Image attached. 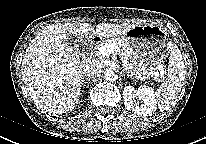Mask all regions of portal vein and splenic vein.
I'll list each match as a JSON object with an SVG mask.
<instances>
[{"label": "portal vein and splenic vein", "instance_id": "obj_1", "mask_svg": "<svg viewBox=\"0 0 206 144\" xmlns=\"http://www.w3.org/2000/svg\"><path fill=\"white\" fill-rule=\"evenodd\" d=\"M120 51V49L113 43L109 45H104L99 48V54L102 56H107L109 57L111 54H114L115 52ZM163 66H160L159 69H161ZM148 75L154 76L155 80H158L159 77V72L151 71L149 72ZM141 80L144 79L145 77H139Z\"/></svg>", "mask_w": 206, "mask_h": 144}]
</instances>
